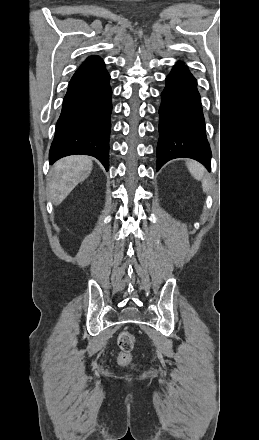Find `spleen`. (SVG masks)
I'll use <instances>...</instances> for the list:
<instances>
[{"mask_svg":"<svg viewBox=\"0 0 259 440\" xmlns=\"http://www.w3.org/2000/svg\"><path fill=\"white\" fill-rule=\"evenodd\" d=\"M187 167L189 172L191 173V175L196 179V180H202V187L203 190L208 193L209 188H210V182L209 180L204 176L205 170L204 167L195 162V161H189L187 163Z\"/></svg>","mask_w":259,"mask_h":440,"instance_id":"obj_1","label":"spleen"}]
</instances>
